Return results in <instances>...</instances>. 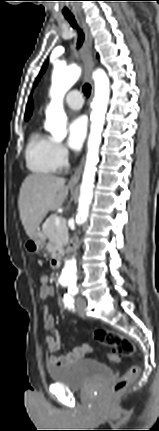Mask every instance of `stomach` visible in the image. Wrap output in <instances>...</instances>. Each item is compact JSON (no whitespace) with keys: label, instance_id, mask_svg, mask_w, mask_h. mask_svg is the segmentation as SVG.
Here are the masks:
<instances>
[{"label":"stomach","instance_id":"0dacf381","mask_svg":"<svg viewBox=\"0 0 159 431\" xmlns=\"http://www.w3.org/2000/svg\"><path fill=\"white\" fill-rule=\"evenodd\" d=\"M45 246V235L37 230L35 234L27 240L25 248L29 253H38Z\"/></svg>","mask_w":159,"mask_h":431}]
</instances>
